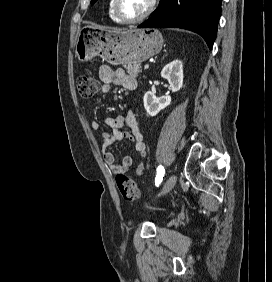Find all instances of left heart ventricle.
I'll list each match as a JSON object with an SVG mask.
<instances>
[{"label":"left heart ventricle","mask_w":272,"mask_h":282,"mask_svg":"<svg viewBox=\"0 0 272 282\" xmlns=\"http://www.w3.org/2000/svg\"><path fill=\"white\" fill-rule=\"evenodd\" d=\"M152 0H119L121 12L128 17L143 14L150 6Z\"/></svg>","instance_id":"obj_1"}]
</instances>
